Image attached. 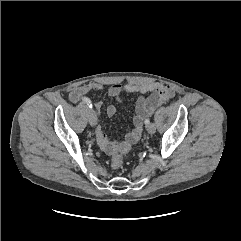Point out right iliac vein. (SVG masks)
Segmentation results:
<instances>
[{
	"label": "right iliac vein",
	"instance_id": "1",
	"mask_svg": "<svg viewBox=\"0 0 241 241\" xmlns=\"http://www.w3.org/2000/svg\"><path fill=\"white\" fill-rule=\"evenodd\" d=\"M88 119H89V123L91 126H95L97 123V116L94 110L89 109L88 111Z\"/></svg>",
	"mask_w": 241,
	"mask_h": 241
}]
</instances>
